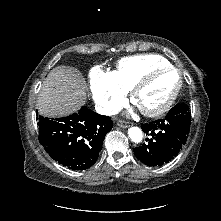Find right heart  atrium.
<instances>
[{
	"label": "right heart atrium",
	"mask_w": 221,
	"mask_h": 221,
	"mask_svg": "<svg viewBox=\"0 0 221 221\" xmlns=\"http://www.w3.org/2000/svg\"><path fill=\"white\" fill-rule=\"evenodd\" d=\"M89 82L93 99L103 114L111 115L123 105L127 91L113 72L94 68L90 73Z\"/></svg>",
	"instance_id": "1"
}]
</instances>
